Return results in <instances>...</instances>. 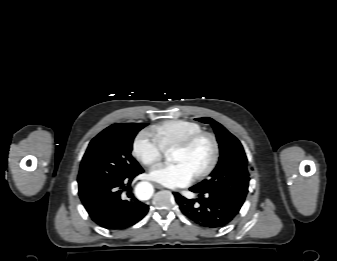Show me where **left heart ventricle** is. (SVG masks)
<instances>
[{
  "label": "left heart ventricle",
  "instance_id": "left-heart-ventricle-1",
  "mask_svg": "<svg viewBox=\"0 0 337 261\" xmlns=\"http://www.w3.org/2000/svg\"><path fill=\"white\" fill-rule=\"evenodd\" d=\"M212 154L213 146L211 141L208 138H203L189 150H175L172 155V161L185 164L195 175L208 166Z\"/></svg>",
  "mask_w": 337,
  "mask_h": 261
}]
</instances>
